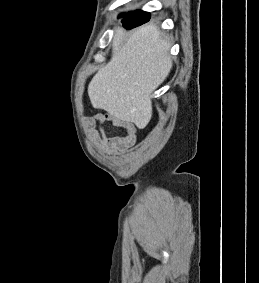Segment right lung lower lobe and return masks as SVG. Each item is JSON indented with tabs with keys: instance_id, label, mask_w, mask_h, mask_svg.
I'll use <instances>...</instances> for the list:
<instances>
[{
	"instance_id": "right-lung-lower-lobe-1",
	"label": "right lung lower lobe",
	"mask_w": 259,
	"mask_h": 283,
	"mask_svg": "<svg viewBox=\"0 0 259 283\" xmlns=\"http://www.w3.org/2000/svg\"><path fill=\"white\" fill-rule=\"evenodd\" d=\"M122 17H124V19H122L123 26L126 29L130 30L148 22L150 19V13L140 10L127 14H122Z\"/></svg>"
}]
</instances>
